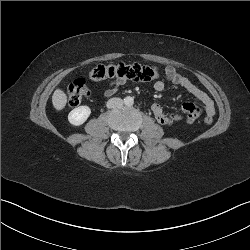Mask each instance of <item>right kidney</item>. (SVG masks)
<instances>
[{
  "label": "right kidney",
  "mask_w": 250,
  "mask_h": 250,
  "mask_svg": "<svg viewBox=\"0 0 250 250\" xmlns=\"http://www.w3.org/2000/svg\"><path fill=\"white\" fill-rule=\"evenodd\" d=\"M90 114L91 109L88 106H79L69 113L68 120L72 125L80 126L88 119Z\"/></svg>",
  "instance_id": "1"
}]
</instances>
